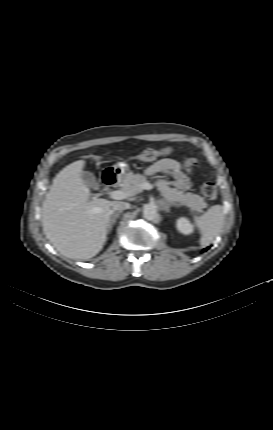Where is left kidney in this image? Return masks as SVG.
<instances>
[{"label": "left kidney", "mask_w": 273, "mask_h": 430, "mask_svg": "<svg viewBox=\"0 0 273 430\" xmlns=\"http://www.w3.org/2000/svg\"><path fill=\"white\" fill-rule=\"evenodd\" d=\"M176 227L178 229L179 232L185 234V235H190L193 233V225L190 223V221L185 218V217H181L177 220L176 223Z\"/></svg>", "instance_id": "left-kidney-1"}]
</instances>
